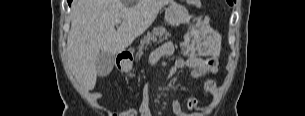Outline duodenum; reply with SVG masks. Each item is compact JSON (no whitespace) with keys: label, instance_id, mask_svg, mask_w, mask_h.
<instances>
[{"label":"duodenum","instance_id":"410a0bca","mask_svg":"<svg viewBox=\"0 0 305 116\" xmlns=\"http://www.w3.org/2000/svg\"><path fill=\"white\" fill-rule=\"evenodd\" d=\"M131 58V54L128 51L120 52L117 56V61L119 64H124Z\"/></svg>","mask_w":305,"mask_h":116}]
</instances>
